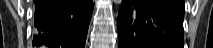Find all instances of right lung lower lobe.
I'll use <instances>...</instances> for the list:
<instances>
[{"mask_svg": "<svg viewBox=\"0 0 213 48\" xmlns=\"http://www.w3.org/2000/svg\"><path fill=\"white\" fill-rule=\"evenodd\" d=\"M33 46L84 48L92 0H34Z\"/></svg>", "mask_w": 213, "mask_h": 48, "instance_id": "98d812e1", "label": "right lung lower lobe"}]
</instances>
